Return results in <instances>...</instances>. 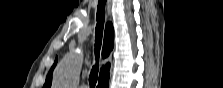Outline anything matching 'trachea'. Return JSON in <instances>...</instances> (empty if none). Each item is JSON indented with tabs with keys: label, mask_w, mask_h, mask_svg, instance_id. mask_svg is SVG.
<instances>
[{
	"label": "trachea",
	"mask_w": 223,
	"mask_h": 88,
	"mask_svg": "<svg viewBox=\"0 0 223 88\" xmlns=\"http://www.w3.org/2000/svg\"><path fill=\"white\" fill-rule=\"evenodd\" d=\"M105 3L106 0H99L98 7H97V24H96V32H95V56L98 62L99 54L102 44V35H103V27H104V20H105ZM98 65H95L90 73L89 76V84L91 88H95L98 78Z\"/></svg>",
	"instance_id": "1"
}]
</instances>
